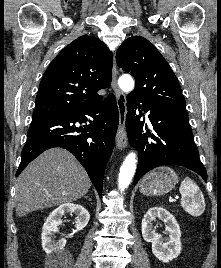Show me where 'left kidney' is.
Masks as SVG:
<instances>
[{
    "instance_id": "5707ae66",
    "label": "left kidney",
    "mask_w": 221,
    "mask_h": 268,
    "mask_svg": "<svg viewBox=\"0 0 221 268\" xmlns=\"http://www.w3.org/2000/svg\"><path fill=\"white\" fill-rule=\"evenodd\" d=\"M156 218L165 223V232L168 237L163 238L153 227ZM141 231L143 239L152 243V252L156 258L167 263L178 257L181 252V232L176 219L166 209L161 207L150 208L142 219Z\"/></svg>"
}]
</instances>
